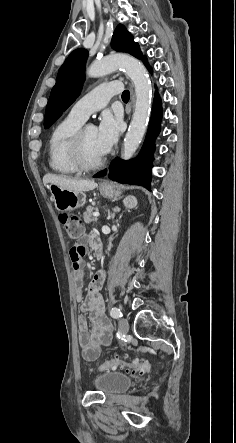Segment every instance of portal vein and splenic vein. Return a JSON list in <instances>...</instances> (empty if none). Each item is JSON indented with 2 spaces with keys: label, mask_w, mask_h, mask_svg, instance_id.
<instances>
[{
  "label": "portal vein and splenic vein",
  "mask_w": 236,
  "mask_h": 443,
  "mask_svg": "<svg viewBox=\"0 0 236 443\" xmlns=\"http://www.w3.org/2000/svg\"><path fill=\"white\" fill-rule=\"evenodd\" d=\"M99 216H100V214L98 212L93 213V217H99Z\"/></svg>",
  "instance_id": "1"
}]
</instances>
